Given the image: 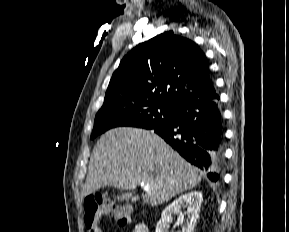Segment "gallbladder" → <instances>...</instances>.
Segmentation results:
<instances>
[{"mask_svg":"<svg viewBox=\"0 0 289 232\" xmlns=\"http://www.w3.org/2000/svg\"><path fill=\"white\" fill-rule=\"evenodd\" d=\"M117 198L120 199L121 201H124V200L128 201L129 199L136 201L138 199L136 196H133L130 193H123L122 195L117 196Z\"/></svg>","mask_w":289,"mask_h":232,"instance_id":"1","label":"gallbladder"}]
</instances>
